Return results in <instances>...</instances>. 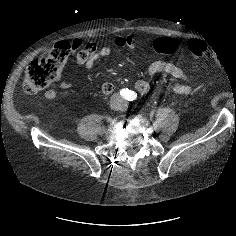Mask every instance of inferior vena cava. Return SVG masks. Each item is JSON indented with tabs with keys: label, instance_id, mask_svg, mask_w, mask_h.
I'll return each instance as SVG.
<instances>
[{
	"label": "inferior vena cava",
	"instance_id": "1",
	"mask_svg": "<svg viewBox=\"0 0 236 236\" xmlns=\"http://www.w3.org/2000/svg\"><path fill=\"white\" fill-rule=\"evenodd\" d=\"M123 102V99L120 97L119 94L115 93L111 97V107L115 110L120 108V103Z\"/></svg>",
	"mask_w": 236,
	"mask_h": 236
}]
</instances>
